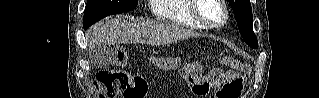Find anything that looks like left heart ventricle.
Here are the masks:
<instances>
[{
	"label": "left heart ventricle",
	"mask_w": 319,
	"mask_h": 98,
	"mask_svg": "<svg viewBox=\"0 0 319 98\" xmlns=\"http://www.w3.org/2000/svg\"><path fill=\"white\" fill-rule=\"evenodd\" d=\"M198 10L211 24H219L223 21L224 10L216 0L200 1Z\"/></svg>",
	"instance_id": "b2bd125f"
}]
</instances>
